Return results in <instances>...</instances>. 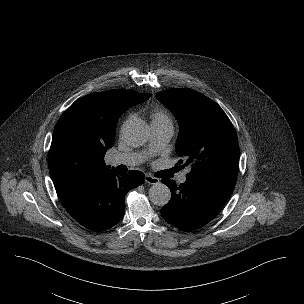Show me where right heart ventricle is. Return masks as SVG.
I'll list each match as a JSON object with an SVG mask.
<instances>
[{
	"instance_id": "e07e8e85",
	"label": "right heart ventricle",
	"mask_w": 304,
	"mask_h": 304,
	"mask_svg": "<svg viewBox=\"0 0 304 304\" xmlns=\"http://www.w3.org/2000/svg\"><path fill=\"white\" fill-rule=\"evenodd\" d=\"M151 124L157 125H172V120L169 113L160 107H156L150 112Z\"/></svg>"
}]
</instances>
